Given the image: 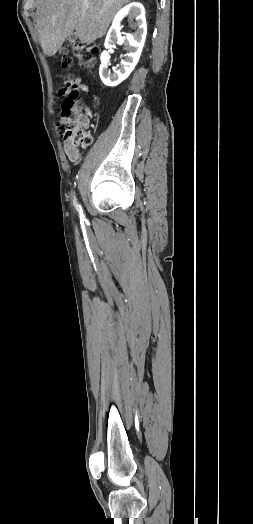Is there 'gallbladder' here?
Masks as SVG:
<instances>
[{
	"label": "gallbladder",
	"mask_w": 253,
	"mask_h": 524,
	"mask_svg": "<svg viewBox=\"0 0 253 524\" xmlns=\"http://www.w3.org/2000/svg\"><path fill=\"white\" fill-rule=\"evenodd\" d=\"M76 38H77L76 35H75L74 33H71V34L69 35V37H68V41H69V43H73V42H75Z\"/></svg>",
	"instance_id": "bac80fb5"
}]
</instances>
